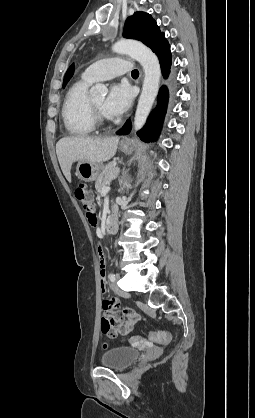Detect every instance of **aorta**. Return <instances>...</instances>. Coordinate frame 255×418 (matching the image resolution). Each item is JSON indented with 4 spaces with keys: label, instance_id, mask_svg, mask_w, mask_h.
I'll use <instances>...</instances> for the list:
<instances>
[{
    "label": "aorta",
    "instance_id": "aorta-1",
    "mask_svg": "<svg viewBox=\"0 0 255 418\" xmlns=\"http://www.w3.org/2000/svg\"><path fill=\"white\" fill-rule=\"evenodd\" d=\"M112 50L120 54H128L143 67L145 77L142 92L134 118V129L140 130L145 124L156 98L160 84V64L157 56L145 45L133 40H121L115 43ZM108 93L107 86L96 84L90 90L92 96L104 97Z\"/></svg>",
    "mask_w": 255,
    "mask_h": 418
}]
</instances>
